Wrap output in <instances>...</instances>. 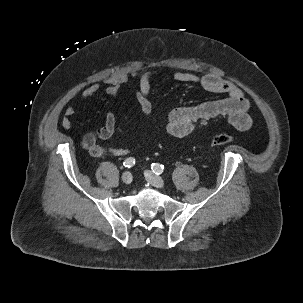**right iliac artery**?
<instances>
[{"label":"right iliac artery","instance_id":"right-iliac-artery-1","mask_svg":"<svg viewBox=\"0 0 303 303\" xmlns=\"http://www.w3.org/2000/svg\"><path fill=\"white\" fill-rule=\"evenodd\" d=\"M123 165L127 168L132 167L133 165H135V159L132 157L127 158L124 162Z\"/></svg>","mask_w":303,"mask_h":303}]
</instances>
